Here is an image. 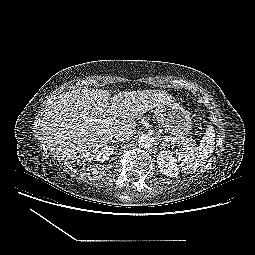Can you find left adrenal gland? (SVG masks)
I'll list each match as a JSON object with an SVG mask.
<instances>
[{"mask_svg":"<svg viewBox=\"0 0 255 255\" xmlns=\"http://www.w3.org/2000/svg\"><path fill=\"white\" fill-rule=\"evenodd\" d=\"M159 140H160L161 146H164V147H167V146H168L166 142L161 141V140H162L161 138H160Z\"/></svg>","mask_w":255,"mask_h":255,"instance_id":"obj_1","label":"left adrenal gland"}]
</instances>
